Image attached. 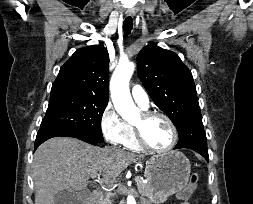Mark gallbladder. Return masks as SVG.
I'll return each instance as SVG.
<instances>
[{
    "label": "gallbladder",
    "instance_id": "obj_1",
    "mask_svg": "<svg viewBox=\"0 0 253 204\" xmlns=\"http://www.w3.org/2000/svg\"><path fill=\"white\" fill-rule=\"evenodd\" d=\"M90 197V191L83 189L79 192L62 190L54 196L55 204H84Z\"/></svg>",
    "mask_w": 253,
    "mask_h": 204
}]
</instances>
